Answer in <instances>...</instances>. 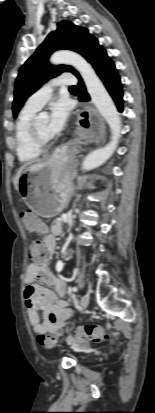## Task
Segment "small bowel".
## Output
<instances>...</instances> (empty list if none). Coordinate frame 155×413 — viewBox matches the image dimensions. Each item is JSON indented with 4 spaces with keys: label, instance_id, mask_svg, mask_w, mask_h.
Here are the masks:
<instances>
[{
    "label": "small bowel",
    "instance_id": "small-bowel-1",
    "mask_svg": "<svg viewBox=\"0 0 155 413\" xmlns=\"http://www.w3.org/2000/svg\"><path fill=\"white\" fill-rule=\"evenodd\" d=\"M20 216L25 217L23 227H29L30 231H39L44 225L43 218H35L32 209L21 210ZM43 243L49 253L54 250L53 235H46ZM36 281H40L42 285ZM25 284L24 298L33 330L39 336L47 335L53 339L59 337L62 328L72 318L69 304L63 300L67 290L66 282L50 271L46 259L42 263L33 262L28 265ZM39 312H42V320Z\"/></svg>",
    "mask_w": 155,
    "mask_h": 413
}]
</instances>
